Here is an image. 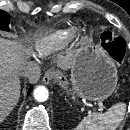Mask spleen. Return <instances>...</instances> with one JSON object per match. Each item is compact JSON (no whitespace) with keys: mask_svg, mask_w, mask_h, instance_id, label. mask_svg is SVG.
I'll use <instances>...</instances> for the list:
<instances>
[{"mask_svg":"<svg viewBox=\"0 0 130 130\" xmlns=\"http://www.w3.org/2000/svg\"><path fill=\"white\" fill-rule=\"evenodd\" d=\"M125 111V103L115 104L104 114L93 113L84 117L73 130H114L122 121Z\"/></svg>","mask_w":130,"mask_h":130,"instance_id":"spleen-1","label":"spleen"}]
</instances>
